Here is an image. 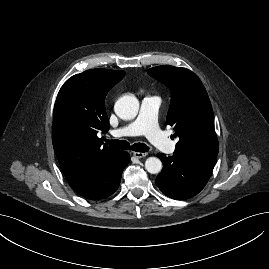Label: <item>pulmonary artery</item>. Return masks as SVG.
<instances>
[{
  "instance_id": "obj_1",
  "label": "pulmonary artery",
  "mask_w": 269,
  "mask_h": 269,
  "mask_svg": "<svg viewBox=\"0 0 269 269\" xmlns=\"http://www.w3.org/2000/svg\"><path fill=\"white\" fill-rule=\"evenodd\" d=\"M161 100L158 97H145L140 106L138 116L125 126L114 130L116 137L144 135L158 149L166 153H174L176 143L171 141L158 127L157 114Z\"/></svg>"
}]
</instances>
